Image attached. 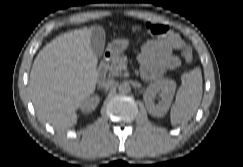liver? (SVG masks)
<instances>
[{
	"instance_id": "6515ba94",
	"label": "liver",
	"mask_w": 243,
	"mask_h": 167,
	"mask_svg": "<svg viewBox=\"0 0 243 167\" xmlns=\"http://www.w3.org/2000/svg\"><path fill=\"white\" fill-rule=\"evenodd\" d=\"M91 29L63 34L47 44L34 60L29 88L40 120L57 129L77 123L76 110L95 91L97 56Z\"/></svg>"
}]
</instances>
